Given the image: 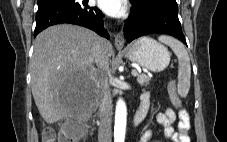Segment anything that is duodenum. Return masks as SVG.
Returning a JSON list of instances; mask_svg holds the SVG:
<instances>
[{"label":"duodenum","mask_w":227,"mask_h":142,"mask_svg":"<svg viewBox=\"0 0 227 142\" xmlns=\"http://www.w3.org/2000/svg\"><path fill=\"white\" fill-rule=\"evenodd\" d=\"M148 104L146 102H142L141 101V104L133 118V125L134 126H137L139 125L143 120L144 118L146 117L147 115V112H148Z\"/></svg>","instance_id":"1"}]
</instances>
